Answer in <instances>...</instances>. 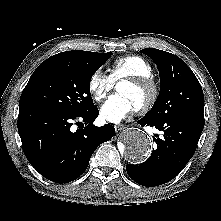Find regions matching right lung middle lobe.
Masks as SVG:
<instances>
[{"label": "right lung middle lobe", "instance_id": "right-lung-middle-lobe-1", "mask_svg": "<svg viewBox=\"0 0 221 221\" xmlns=\"http://www.w3.org/2000/svg\"><path fill=\"white\" fill-rule=\"evenodd\" d=\"M112 55L99 53L88 63L45 60L34 71L20 97V107H42L81 115L96 106L90 94L92 75Z\"/></svg>", "mask_w": 221, "mask_h": 221}]
</instances>
